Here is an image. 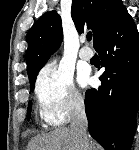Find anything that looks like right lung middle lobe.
Returning <instances> with one entry per match:
<instances>
[{
    "mask_svg": "<svg viewBox=\"0 0 139 150\" xmlns=\"http://www.w3.org/2000/svg\"><path fill=\"white\" fill-rule=\"evenodd\" d=\"M35 80H36V77L30 81V87H31V90L34 89V84H35ZM30 113H31V102L29 103V106H28V119L30 118Z\"/></svg>",
    "mask_w": 139,
    "mask_h": 150,
    "instance_id": "obj_1",
    "label": "right lung middle lobe"
}]
</instances>
